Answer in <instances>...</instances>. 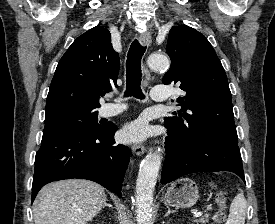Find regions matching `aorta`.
<instances>
[{
  "label": "aorta",
  "instance_id": "obj_1",
  "mask_svg": "<svg viewBox=\"0 0 275 224\" xmlns=\"http://www.w3.org/2000/svg\"><path fill=\"white\" fill-rule=\"evenodd\" d=\"M147 63L155 71H164L170 67L169 59L162 54H151ZM161 152L160 148L150 151L141 162L136 182L137 224H150L154 188L162 162Z\"/></svg>",
  "mask_w": 275,
  "mask_h": 224
}]
</instances>
